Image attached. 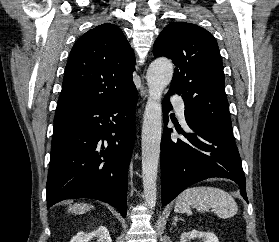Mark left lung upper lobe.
Returning a JSON list of instances; mask_svg holds the SVG:
<instances>
[{"label": "left lung upper lobe", "mask_w": 279, "mask_h": 242, "mask_svg": "<svg viewBox=\"0 0 279 242\" xmlns=\"http://www.w3.org/2000/svg\"><path fill=\"white\" fill-rule=\"evenodd\" d=\"M153 54L175 64L169 92L183 98L185 118L232 136L223 64L212 34L195 24L170 23L156 39Z\"/></svg>", "instance_id": "5c2ea615"}]
</instances>
